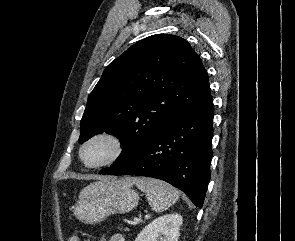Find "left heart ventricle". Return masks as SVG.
Instances as JSON below:
<instances>
[{"label":"left heart ventricle","mask_w":295,"mask_h":241,"mask_svg":"<svg viewBox=\"0 0 295 241\" xmlns=\"http://www.w3.org/2000/svg\"><path fill=\"white\" fill-rule=\"evenodd\" d=\"M114 152V145L107 139H97L84 151V159L89 164H96L109 158Z\"/></svg>","instance_id":"left-heart-ventricle-1"}]
</instances>
